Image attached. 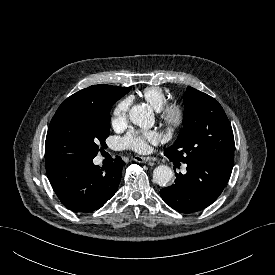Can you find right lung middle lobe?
<instances>
[{
	"instance_id": "1",
	"label": "right lung middle lobe",
	"mask_w": 275,
	"mask_h": 275,
	"mask_svg": "<svg viewBox=\"0 0 275 275\" xmlns=\"http://www.w3.org/2000/svg\"><path fill=\"white\" fill-rule=\"evenodd\" d=\"M120 98L55 113L46 136L45 160L93 159L109 136L111 106Z\"/></svg>"
}]
</instances>
